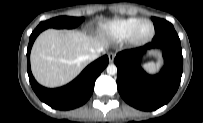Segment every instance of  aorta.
<instances>
[{
  "mask_svg": "<svg viewBox=\"0 0 203 123\" xmlns=\"http://www.w3.org/2000/svg\"><path fill=\"white\" fill-rule=\"evenodd\" d=\"M107 73L109 74V75H115L116 73H117V67H116V65H114V64H109L108 66H107Z\"/></svg>",
  "mask_w": 203,
  "mask_h": 123,
  "instance_id": "aorta-1",
  "label": "aorta"
}]
</instances>
